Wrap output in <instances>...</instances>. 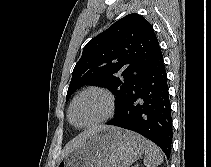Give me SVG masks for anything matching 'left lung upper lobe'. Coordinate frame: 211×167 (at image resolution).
<instances>
[{"mask_svg": "<svg viewBox=\"0 0 211 167\" xmlns=\"http://www.w3.org/2000/svg\"><path fill=\"white\" fill-rule=\"evenodd\" d=\"M158 50L153 27L144 17L129 14L121 18L84 47L73 70L66 101L81 86H101L115 93L118 113L126 94ZM117 73L123 77H117Z\"/></svg>", "mask_w": 211, "mask_h": 167, "instance_id": "left-lung-upper-lobe-1", "label": "left lung upper lobe"}]
</instances>
